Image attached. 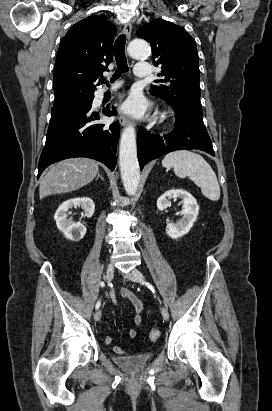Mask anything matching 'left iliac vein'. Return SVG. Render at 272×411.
Here are the masks:
<instances>
[{
    "label": "left iliac vein",
    "mask_w": 272,
    "mask_h": 411,
    "mask_svg": "<svg viewBox=\"0 0 272 411\" xmlns=\"http://www.w3.org/2000/svg\"><path fill=\"white\" fill-rule=\"evenodd\" d=\"M127 277L136 282H143L144 280L143 274L137 269H132L130 273L127 275ZM161 313H162L164 320L167 321L169 319V312L165 306L162 307Z\"/></svg>",
    "instance_id": "obj_1"
}]
</instances>
